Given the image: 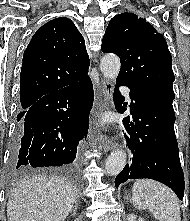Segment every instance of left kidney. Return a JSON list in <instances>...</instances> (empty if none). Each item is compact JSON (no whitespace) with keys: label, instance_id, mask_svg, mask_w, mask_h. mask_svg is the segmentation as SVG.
<instances>
[{"label":"left kidney","instance_id":"left-kidney-1","mask_svg":"<svg viewBox=\"0 0 190 221\" xmlns=\"http://www.w3.org/2000/svg\"><path fill=\"white\" fill-rule=\"evenodd\" d=\"M136 219H137V216H135L134 214H130L127 216V221H136ZM139 221L141 220L139 219Z\"/></svg>","mask_w":190,"mask_h":221}]
</instances>
